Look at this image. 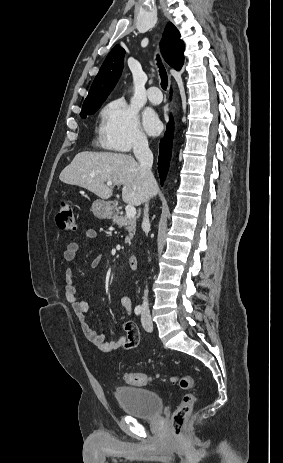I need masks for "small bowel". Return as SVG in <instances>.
Returning a JSON list of instances; mask_svg holds the SVG:
<instances>
[{"label": "small bowel", "instance_id": "c3829d8e", "mask_svg": "<svg viewBox=\"0 0 283 463\" xmlns=\"http://www.w3.org/2000/svg\"><path fill=\"white\" fill-rule=\"evenodd\" d=\"M84 237L88 241H95L97 239V232L94 229H88L85 231ZM80 247L79 242H70L64 250V259L67 261H74ZM101 261L102 256L98 255L91 260L90 265L96 267ZM64 276V296L78 316L84 336L98 351L105 353L121 347L126 350H131L138 346L139 332L132 320H126L121 324V329L125 334L120 336L117 340H108L102 331L96 330L90 326L85 319V314L88 311V304L76 293L73 285V270L71 268L66 269ZM119 301L127 316H130L132 312L131 299L126 295H122Z\"/></svg>", "mask_w": 283, "mask_h": 463}]
</instances>
